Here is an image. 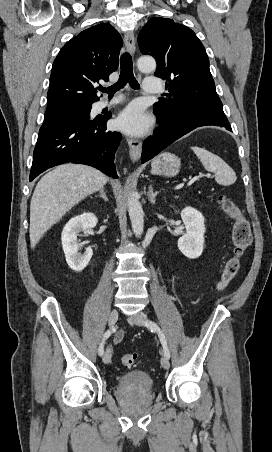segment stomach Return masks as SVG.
I'll list each match as a JSON object with an SVG mask.
<instances>
[{
    "mask_svg": "<svg viewBox=\"0 0 272 452\" xmlns=\"http://www.w3.org/2000/svg\"><path fill=\"white\" fill-rule=\"evenodd\" d=\"M181 165L180 159L171 153L165 152L157 156L151 163V173L166 177L176 176Z\"/></svg>",
    "mask_w": 272,
    "mask_h": 452,
    "instance_id": "obj_1",
    "label": "stomach"
}]
</instances>
